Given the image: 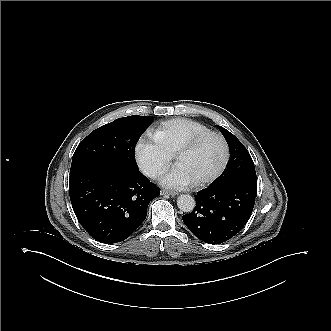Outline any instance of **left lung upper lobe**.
Masks as SVG:
<instances>
[{"label": "left lung upper lobe", "mask_w": 331, "mask_h": 331, "mask_svg": "<svg viewBox=\"0 0 331 331\" xmlns=\"http://www.w3.org/2000/svg\"><path fill=\"white\" fill-rule=\"evenodd\" d=\"M224 135L230 150V160L224 173L218 178V184L232 179L242 178L257 182L253 160L243 144L225 128L218 126Z\"/></svg>", "instance_id": "1"}]
</instances>
